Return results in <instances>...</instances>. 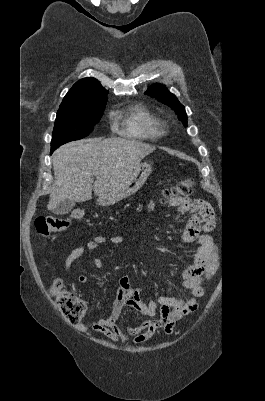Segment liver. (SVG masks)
I'll list each match as a JSON object with an SVG mask.
<instances>
[{
  "label": "liver",
  "mask_w": 265,
  "mask_h": 401,
  "mask_svg": "<svg viewBox=\"0 0 265 401\" xmlns=\"http://www.w3.org/2000/svg\"><path fill=\"white\" fill-rule=\"evenodd\" d=\"M156 146L130 138H84L63 144L52 154L54 184L50 190L48 211L70 198L84 203L96 196H105L123 184L144 156ZM93 176L97 180L93 182Z\"/></svg>",
  "instance_id": "obj_1"
}]
</instances>
